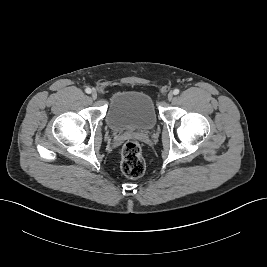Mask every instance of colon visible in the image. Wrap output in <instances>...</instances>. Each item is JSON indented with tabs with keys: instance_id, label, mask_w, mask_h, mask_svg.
Instances as JSON below:
<instances>
[{
	"instance_id": "colon-1",
	"label": "colon",
	"mask_w": 267,
	"mask_h": 267,
	"mask_svg": "<svg viewBox=\"0 0 267 267\" xmlns=\"http://www.w3.org/2000/svg\"><path fill=\"white\" fill-rule=\"evenodd\" d=\"M121 169L125 176L131 179L141 177L145 171L142 148L136 141L124 144L121 154Z\"/></svg>"
}]
</instances>
